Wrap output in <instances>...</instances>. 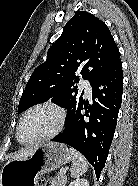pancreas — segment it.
<instances>
[{
	"label": "pancreas",
	"mask_w": 138,
	"mask_h": 186,
	"mask_svg": "<svg viewBox=\"0 0 138 186\" xmlns=\"http://www.w3.org/2000/svg\"><path fill=\"white\" fill-rule=\"evenodd\" d=\"M65 182V177L58 173L56 177L51 179V186H65Z\"/></svg>",
	"instance_id": "pancreas-1"
}]
</instances>
